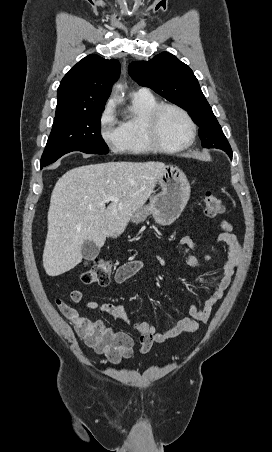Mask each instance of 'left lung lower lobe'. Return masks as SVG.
<instances>
[{
    "instance_id": "left-lung-lower-lobe-1",
    "label": "left lung lower lobe",
    "mask_w": 272,
    "mask_h": 452,
    "mask_svg": "<svg viewBox=\"0 0 272 452\" xmlns=\"http://www.w3.org/2000/svg\"><path fill=\"white\" fill-rule=\"evenodd\" d=\"M228 156L232 159V150L230 148V151L228 152Z\"/></svg>"
}]
</instances>
